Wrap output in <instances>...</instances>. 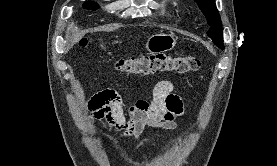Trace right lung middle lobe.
Masks as SVG:
<instances>
[{
  "mask_svg": "<svg viewBox=\"0 0 277 166\" xmlns=\"http://www.w3.org/2000/svg\"><path fill=\"white\" fill-rule=\"evenodd\" d=\"M85 8L90 9V10H96L98 8L97 3L94 2H87L85 3Z\"/></svg>",
  "mask_w": 277,
  "mask_h": 166,
  "instance_id": "right-lung-middle-lobe-1",
  "label": "right lung middle lobe"
}]
</instances>
